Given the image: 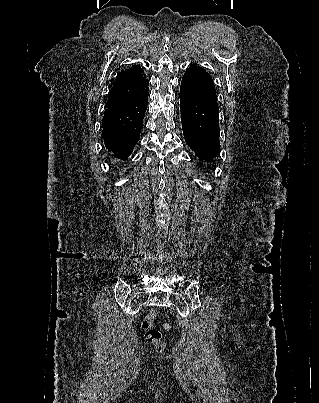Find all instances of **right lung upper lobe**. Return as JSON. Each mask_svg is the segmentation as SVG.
Here are the masks:
<instances>
[{
	"label": "right lung upper lobe",
	"instance_id": "right-lung-upper-lobe-1",
	"mask_svg": "<svg viewBox=\"0 0 319 403\" xmlns=\"http://www.w3.org/2000/svg\"><path fill=\"white\" fill-rule=\"evenodd\" d=\"M148 79L140 65L122 70L112 87L106 108L124 104L148 91Z\"/></svg>",
	"mask_w": 319,
	"mask_h": 403
}]
</instances>
